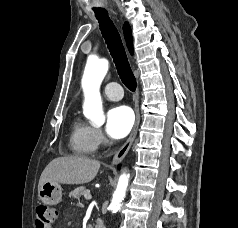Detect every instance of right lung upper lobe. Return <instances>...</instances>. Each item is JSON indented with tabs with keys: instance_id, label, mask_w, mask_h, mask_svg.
I'll return each instance as SVG.
<instances>
[{
	"instance_id": "obj_1",
	"label": "right lung upper lobe",
	"mask_w": 238,
	"mask_h": 228,
	"mask_svg": "<svg viewBox=\"0 0 238 228\" xmlns=\"http://www.w3.org/2000/svg\"><path fill=\"white\" fill-rule=\"evenodd\" d=\"M123 30H124V35H125L128 49L131 52V54H133V40H132L131 29L128 23L124 24Z\"/></svg>"
}]
</instances>
